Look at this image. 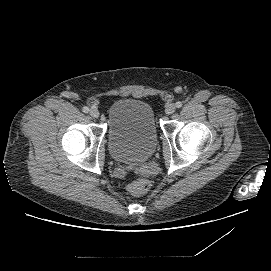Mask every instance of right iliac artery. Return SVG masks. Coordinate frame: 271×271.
Instances as JSON below:
<instances>
[{
    "mask_svg": "<svg viewBox=\"0 0 271 271\" xmlns=\"http://www.w3.org/2000/svg\"><path fill=\"white\" fill-rule=\"evenodd\" d=\"M82 110H83L84 113H88L89 112V108L87 106L83 107Z\"/></svg>",
    "mask_w": 271,
    "mask_h": 271,
    "instance_id": "right-iliac-artery-1",
    "label": "right iliac artery"
}]
</instances>
